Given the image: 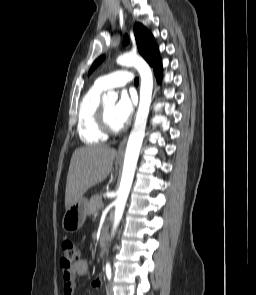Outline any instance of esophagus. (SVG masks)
Listing matches in <instances>:
<instances>
[{
    "mask_svg": "<svg viewBox=\"0 0 256 295\" xmlns=\"http://www.w3.org/2000/svg\"><path fill=\"white\" fill-rule=\"evenodd\" d=\"M127 141V136H125L119 146L118 152H117V158H122L124 156V148Z\"/></svg>",
    "mask_w": 256,
    "mask_h": 295,
    "instance_id": "esophagus-1",
    "label": "esophagus"
}]
</instances>
